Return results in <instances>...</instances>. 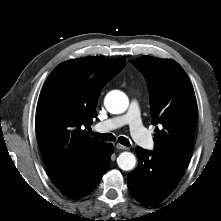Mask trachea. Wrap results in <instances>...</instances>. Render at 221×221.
Returning <instances> with one entry per match:
<instances>
[{
	"label": "trachea",
	"instance_id": "1",
	"mask_svg": "<svg viewBox=\"0 0 221 221\" xmlns=\"http://www.w3.org/2000/svg\"><path fill=\"white\" fill-rule=\"evenodd\" d=\"M90 134L93 137H95L97 139H100V140H103V141H115L116 140L115 136L111 133L101 134V133H95V132L91 131ZM118 142L120 144L124 145V146H127V147L130 146L129 140L127 138L123 137V136L118 138Z\"/></svg>",
	"mask_w": 221,
	"mask_h": 221
}]
</instances>
